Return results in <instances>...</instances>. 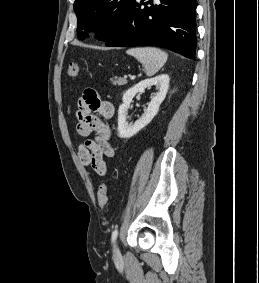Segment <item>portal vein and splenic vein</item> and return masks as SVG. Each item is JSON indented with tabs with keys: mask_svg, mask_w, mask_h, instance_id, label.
Masks as SVG:
<instances>
[{
	"mask_svg": "<svg viewBox=\"0 0 259 283\" xmlns=\"http://www.w3.org/2000/svg\"><path fill=\"white\" fill-rule=\"evenodd\" d=\"M130 78H131V79H134V78H135V76H130Z\"/></svg>",
	"mask_w": 259,
	"mask_h": 283,
	"instance_id": "portal-vein-and-splenic-vein-1",
	"label": "portal vein and splenic vein"
}]
</instances>
